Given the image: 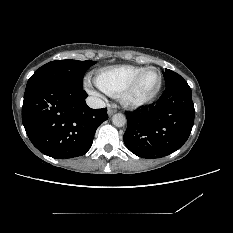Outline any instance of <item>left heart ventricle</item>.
<instances>
[{
	"mask_svg": "<svg viewBox=\"0 0 233 233\" xmlns=\"http://www.w3.org/2000/svg\"><path fill=\"white\" fill-rule=\"evenodd\" d=\"M159 83V74L156 70L147 71L138 82L135 87L132 98L133 99H144L150 96L157 88Z\"/></svg>",
	"mask_w": 233,
	"mask_h": 233,
	"instance_id": "obj_1",
	"label": "left heart ventricle"
}]
</instances>
